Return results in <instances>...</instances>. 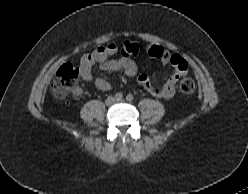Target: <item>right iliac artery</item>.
Returning a JSON list of instances; mask_svg holds the SVG:
<instances>
[{"instance_id": "obj_1", "label": "right iliac artery", "mask_w": 248, "mask_h": 194, "mask_svg": "<svg viewBox=\"0 0 248 194\" xmlns=\"http://www.w3.org/2000/svg\"><path fill=\"white\" fill-rule=\"evenodd\" d=\"M122 98H123V94L122 93H119L118 92V93L115 94V99L116 100H121Z\"/></svg>"}]
</instances>
